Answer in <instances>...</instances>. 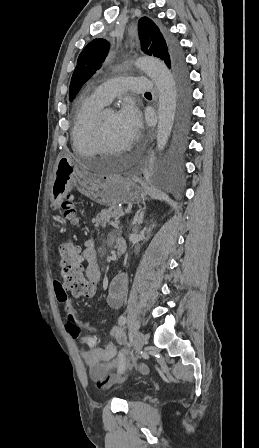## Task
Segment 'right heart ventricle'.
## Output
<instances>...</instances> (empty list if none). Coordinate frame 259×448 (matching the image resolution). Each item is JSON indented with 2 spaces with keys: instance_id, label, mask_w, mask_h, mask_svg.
I'll return each instance as SVG.
<instances>
[{
  "instance_id": "1",
  "label": "right heart ventricle",
  "mask_w": 259,
  "mask_h": 448,
  "mask_svg": "<svg viewBox=\"0 0 259 448\" xmlns=\"http://www.w3.org/2000/svg\"><path fill=\"white\" fill-rule=\"evenodd\" d=\"M105 105L97 97L95 90L83 96V102L75 114L71 132L73 148H78V151L99 150L96 142V118Z\"/></svg>"
}]
</instances>
